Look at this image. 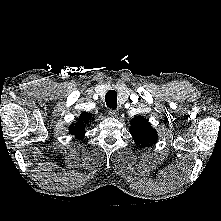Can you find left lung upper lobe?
<instances>
[{"instance_id": "5c2ea615", "label": "left lung upper lobe", "mask_w": 221, "mask_h": 221, "mask_svg": "<svg viewBox=\"0 0 221 221\" xmlns=\"http://www.w3.org/2000/svg\"><path fill=\"white\" fill-rule=\"evenodd\" d=\"M134 142L140 147L153 145L157 142V132L151 127L147 119L137 116L131 120L129 128Z\"/></svg>"}]
</instances>
